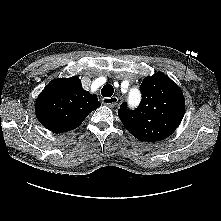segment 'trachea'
Wrapping results in <instances>:
<instances>
[{"label": "trachea", "instance_id": "trachea-1", "mask_svg": "<svg viewBox=\"0 0 221 221\" xmlns=\"http://www.w3.org/2000/svg\"><path fill=\"white\" fill-rule=\"evenodd\" d=\"M113 92H114V89L112 85L110 84L105 85L101 90V94L104 97H111L113 95Z\"/></svg>", "mask_w": 221, "mask_h": 221}]
</instances>
